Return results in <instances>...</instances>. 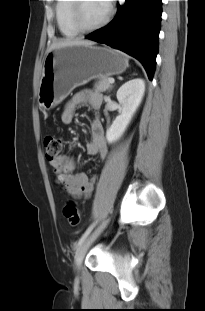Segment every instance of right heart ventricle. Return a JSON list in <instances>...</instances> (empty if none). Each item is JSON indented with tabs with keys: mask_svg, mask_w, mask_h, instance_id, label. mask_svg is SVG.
<instances>
[{
	"mask_svg": "<svg viewBox=\"0 0 205 311\" xmlns=\"http://www.w3.org/2000/svg\"><path fill=\"white\" fill-rule=\"evenodd\" d=\"M73 0H57L55 7L56 22L61 34L67 38L77 36L80 31L71 20V6Z\"/></svg>",
	"mask_w": 205,
	"mask_h": 311,
	"instance_id": "1",
	"label": "right heart ventricle"
}]
</instances>
